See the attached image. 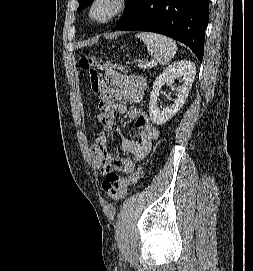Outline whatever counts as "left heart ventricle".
Segmentation results:
<instances>
[{"instance_id": "obj_1", "label": "left heart ventricle", "mask_w": 253, "mask_h": 271, "mask_svg": "<svg viewBox=\"0 0 253 271\" xmlns=\"http://www.w3.org/2000/svg\"><path fill=\"white\" fill-rule=\"evenodd\" d=\"M112 0H102L94 9V16L98 19L105 18L113 9Z\"/></svg>"}]
</instances>
